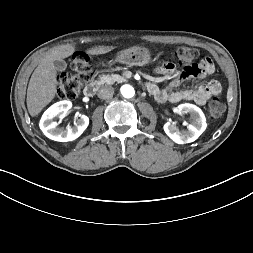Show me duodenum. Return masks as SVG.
<instances>
[{
	"label": "duodenum",
	"mask_w": 253,
	"mask_h": 253,
	"mask_svg": "<svg viewBox=\"0 0 253 253\" xmlns=\"http://www.w3.org/2000/svg\"><path fill=\"white\" fill-rule=\"evenodd\" d=\"M101 85H102L101 80H95V81L88 83L84 88V95L86 97L94 96L97 93V91Z\"/></svg>",
	"instance_id": "obj_1"
}]
</instances>
